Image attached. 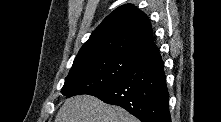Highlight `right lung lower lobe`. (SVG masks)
<instances>
[{
  "label": "right lung lower lobe",
  "mask_w": 221,
  "mask_h": 122,
  "mask_svg": "<svg viewBox=\"0 0 221 122\" xmlns=\"http://www.w3.org/2000/svg\"><path fill=\"white\" fill-rule=\"evenodd\" d=\"M89 95L121 106L142 122H171L164 64L157 48L136 60L119 80Z\"/></svg>",
  "instance_id": "obj_1"
}]
</instances>
